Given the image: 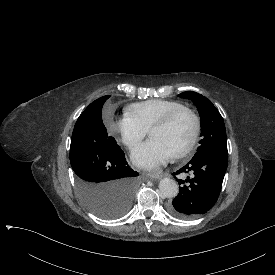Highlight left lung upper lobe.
Listing matches in <instances>:
<instances>
[{
    "label": "left lung upper lobe",
    "mask_w": 275,
    "mask_h": 275,
    "mask_svg": "<svg viewBox=\"0 0 275 275\" xmlns=\"http://www.w3.org/2000/svg\"><path fill=\"white\" fill-rule=\"evenodd\" d=\"M179 96L195 102L201 118V136L203 139L200 141L201 145L193 158L210 151H227L224 121L211 101L193 91L180 93Z\"/></svg>",
    "instance_id": "5c2ea615"
}]
</instances>
